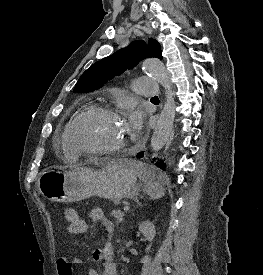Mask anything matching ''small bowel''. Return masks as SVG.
<instances>
[{
  "instance_id": "c3829d8e",
  "label": "small bowel",
  "mask_w": 263,
  "mask_h": 275,
  "mask_svg": "<svg viewBox=\"0 0 263 275\" xmlns=\"http://www.w3.org/2000/svg\"><path fill=\"white\" fill-rule=\"evenodd\" d=\"M89 221L99 223L107 237L112 235L114 225L106 218L101 208H93L89 213V220L78 218L75 222L69 223L67 232L72 235L84 233L88 230ZM92 260L101 263L102 271L99 273L95 268H90L88 275H118L111 242L107 241L101 248L94 250L92 252ZM72 261L73 265L81 262L77 257H73Z\"/></svg>"
}]
</instances>
